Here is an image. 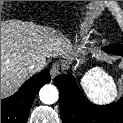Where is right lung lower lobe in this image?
Returning a JSON list of instances; mask_svg holds the SVG:
<instances>
[{
	"label": "right lung lower lobe",
	"mask_w": 123,
	"mask_h": 123,
	"mask_svg": "<svg viewBox=\"0 0 123 123\" xmlns=\"http://www.w3.org/2000/svg\"><path fill=\"white\" fill-rule=\"evenodd\" d=\"M50 79L49 69H44L25 82L14 95L1 100V123H27L36 93Z\"/></svg>",
	"instance_id": "98d812e1"
}]
</instances>
